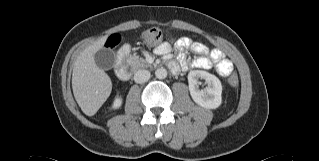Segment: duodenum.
<instances>
[{"label":"duodenum","mask_w":319,"mask_h":161,"mask_svg":"<svg viewBox=\"0 0 319 161\" xmlns=\"http://www.w3.org/2000/svg\"><path fill=\"white\" fill-rule=\"evenodd\" d=\"M129 53L128 47H121L116 55V75L120 80L126 81L131 77V71L127 64V57ZM175 65L173 63L170 64V69H174Z\"/></svg>","instance_id":"duodenum-1"}]
</instances>
